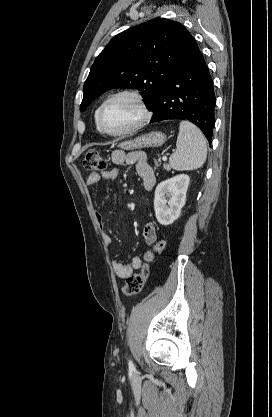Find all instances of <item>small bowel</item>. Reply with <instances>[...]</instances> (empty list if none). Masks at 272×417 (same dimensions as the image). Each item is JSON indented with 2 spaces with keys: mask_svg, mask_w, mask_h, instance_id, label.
Listing matches in <instances>:
<instances>
[{
  "mask_svg": "<svg viewBox=\"0 0 272 417\" xmlns=\"http://www.w3.org/2000/svg\"><path fill=\"white\" fill-rule=\"evenodd\" d=\"M111 159L112 162L117 166L134 165L138 176L143 182L144 188L147 191L152 190L156 183V177L144 153L134 152L127 154L124 151L116 150L112 152ZM118 176V168H112L101 173L91 172L87 177L86 184L89 188H93L94 185L101 180L111 181L115 180ZM96 218L102 228V216L99 212H96ZM143 236L148 244H153L156 241L157 234L154 223L150 222L145 226ZM102 240L107 248H109L113 243L112 237L104 231L102 232ZM154 255L155 254H153L151 251H148L143 260L139 257H134L130 263H123L121 261L112 260V270L117 277L127 279L133 274L135 270H138L142 267L144 261H151L154 258Z\"/></svg>",
  "mask_w": 272,
  "mask_h": 417,
  "instance_id": "1",
  "label": "small bowel"
}]
</instances>
